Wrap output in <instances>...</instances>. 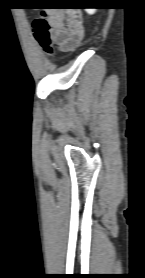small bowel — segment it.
<instances>
[{
	"mask_svg": "<svg viewBox=\"0 0 145 278\" xmlns=\"http://www.w3.org/2000/svg\"><path fill=\"white\" fill-rule=\"evenodd\" d=\"M51 41L62 52L75 49L83 40L84 27L80 15L71 10L56 9L49 15Z\"/></svg>",
	"mask_w": 145,
	"mask_h": 278,
	"instance_id": "small-bowel-1",
	"label": "small bowel"
}]
</instances>
